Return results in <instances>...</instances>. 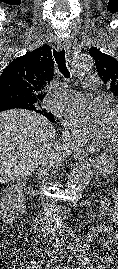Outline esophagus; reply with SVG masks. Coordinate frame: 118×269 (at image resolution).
<instances>
[{"instance_id": "esophagus-1", "label": "esophagus", "mask_w": 118, "mask_h": 269, "mask_svg": "<svg viewBox=\"0 0 118 269\" xmlns=\"http://www.w3.org/2000/svg\"><path fill=\"white\" fill-rule=\"evenodd\" d=\"M57 50H62L63 48L68 49L69 48V44L68 41L66 39H60L57 42V46H56ZM88 156V153L84 150H76L74 151L73 154V158L77 161H81V160H85Z\"/></svg>"}]
</instances>
